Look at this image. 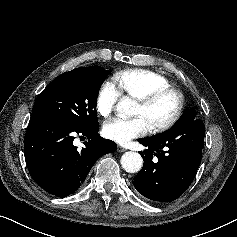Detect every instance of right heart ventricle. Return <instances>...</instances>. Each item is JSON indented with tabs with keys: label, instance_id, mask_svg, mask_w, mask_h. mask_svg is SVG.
Wrapping results in <instances>:
<instances>
[{
	"label": "right heart ventricle",
	"instance_id": "obj_1",
	"mask_svg": "<svg viewBox=\"0 0 237 237\" xmlns=\"http://www.w3.org/2000/svg\"><path fill=\"white\" fill-rule=\"evenodd\" d=\"M114 82L128 97L138 99L156 89L170 88V81L163 75L145 69H129L117 72Z\"/></svg>",
	"mask_w": 237,
	"mask_h": 237
}]
</instances>
